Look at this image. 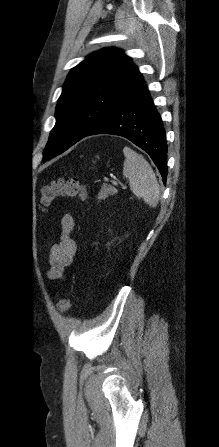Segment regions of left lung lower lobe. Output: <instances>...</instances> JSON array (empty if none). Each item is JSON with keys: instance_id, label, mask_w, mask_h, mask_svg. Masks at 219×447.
<instances>
[{"instance_id": "left-lung-lower-lobe-1", "label": "left lung lower lobe", "mask_w": 219, "mask_h": 447, "mask_svg": "<svg viewBox=\"0 0 219 447\" xmlns=\"http://www.w3.org/2000/svg\"><path fill=\"white\" fill-rule=\"evenodd\" d=\"M96 134L125 137L146 151L158 167L165 184L168 173L165 130L141 74L86 136Z\"/></svg>"}]
</instances>
